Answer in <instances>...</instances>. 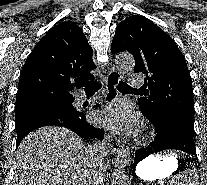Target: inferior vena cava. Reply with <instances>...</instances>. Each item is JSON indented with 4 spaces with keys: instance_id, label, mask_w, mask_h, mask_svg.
<instances>
[{
    "instance_id": "602c4592",
    "label": "inferior vena cava",
    "mask_w": 207,
    "mask_h": 185,
    "mask_svg": "<svg viewBox=\"0 0 207 185\" xmlns=\"http://www.w3.org/2000/svg\"><path fill=\"white\" fill-rule=\"evenodd\" d=\"M97 161H98L97 157H94V163H97ZM94 163H93V165H94ZM93 179H94V177H93ZM87 185H89V183H87Z\"/></svg>"
}]
</instances>
